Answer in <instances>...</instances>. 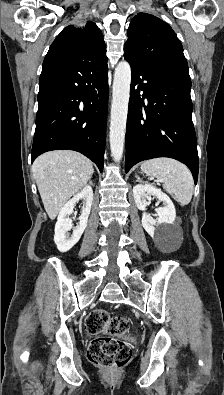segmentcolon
Segmentation results:
<instances>
[{
  "instance_id": "colon-1",
  "label": "colon",
  "mask_w": 224,
  "mask_h": 395,
  "mask_svg": "<svg viewBox=\"0 0 224 395\" xmlns=\"http://www.w3.org/2000/svg\"><path fill=\"white\" fill-rule=\"evenodd\" d=\"M130 323L124 317H111L103 309L91 311L85 319L88 333L99 335L107 332V336L96 337L89 348L90 361L100 367L117 369L124 367L131 358V346L118 336L129 330Z\"/></svg>"
}]
</instances>
